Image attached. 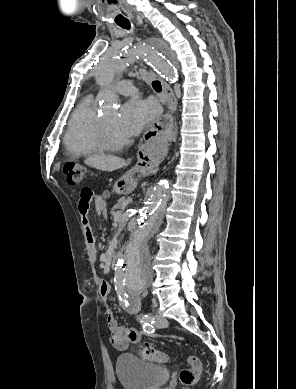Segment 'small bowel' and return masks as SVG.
I'll list each match as a JSON object with an SVG mask.
<instances>
[{"label":"small bowel","mask_w":296,"mask_h":389,"mask_svg":"<svg viewBox=\"0 0 296 389\" xmlns=\"http://www.w3.org/2000/svg\"><path fill=\"white\" fill-rule=\"evenodd\" d=\"M88 195L89 197H87ZM91 204L94 205L98 214L102 216L107 214V204L104 198L101 196H95L91 190L85 188L80 194L78 210L86 238L89 244L94 247L95 238L92 233L89 218V209ZM99 292L102 299L106 301L111 292L109 283L102 281L99 285ZM106 320L110 332V341L115 349L123 351L126 350L130 344H136L140 341V332L136 328L120 326L110 310L107 311Z\"/></svg>","instance_id":"obj_1"}]
</instances>
